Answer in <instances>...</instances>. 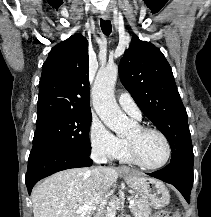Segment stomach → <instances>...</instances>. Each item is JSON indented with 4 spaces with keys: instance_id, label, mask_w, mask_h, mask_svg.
I'll use <instances>...</instances> for the list:
<instances>
[{
    "instance_id": "0dacf381",
    "label": "stomach",
    "mask_w": 211,
    "mask_h": 217,
    "mask_svg": "<svg viewBox=\"0 0 211 217\" xmlns=\"http://www.w3.org/2000/svg\"><path fill=\"white\" fill-rule=\"evenodd\" d=\"M129 186L154 208H163L170 201L169 191L159 180L146 178L136 172L122 173Z\"/></svg>"
}]
</instances>
